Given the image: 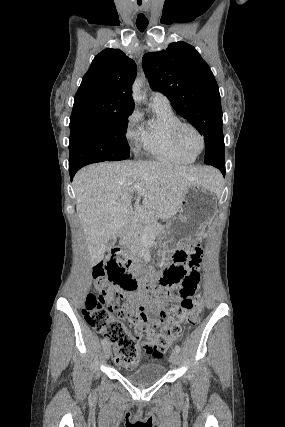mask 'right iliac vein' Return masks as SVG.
Returning a JSON list of instances; mask_svg holds the SVG:
<instances>
[{"instance_id": "1", "label": "right iliac vein", "mask_w": 285, "mask_h": 427, "mask_svg": "<svg viewBox=\"0 0 285 427\" xmlns=\"http://www.w3.org/2000/svg\"><path fill=\"white\" fill-rule=\"evenodd\" d=\"M103 351H104V356H105V358H106V359H108V358H109V356H110V354H111V346H110V344H106V345L104 346Z\"/></svg>"}]
</instances>
